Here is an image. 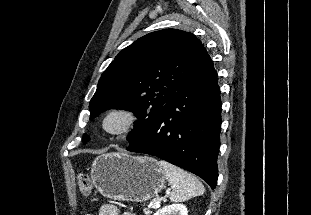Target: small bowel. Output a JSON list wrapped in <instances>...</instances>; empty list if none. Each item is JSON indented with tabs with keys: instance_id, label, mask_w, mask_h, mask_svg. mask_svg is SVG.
<instances>
[{
	"instance_id": "c3829d8e",
	"label": "small bowel",
	"mask_w": 311,
	"mask_h": 215,
	"mask_svg": "<svg viewBox=\"0 0 311 215\" xmlns=\"http://www.w3.org/2000/svg\"><path fill=\"white\" fill-rule=\"evenodd\" d=\"M92 215V214H85ZM98 215H135L132 212H124L120 214L118 208L113 204H104L100 207Z\"/></svg>"
}]
</instances>
